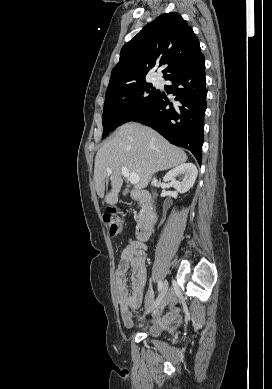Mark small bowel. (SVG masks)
<instances>
[{
    "instance_id": "1",
    "label": "small bowel",
    "mask_w": 272,
    "mask_h": 389,
    "mask_svg": "<svg viewBox=\"0 0 272 389\" xmlns=\"http://www.w3.org/2000/svg\"><path fill=\"white\" fill-rule=\"evenodd\" d=\"M131 273V292L127 289L126 273ZM147 279L146 253L142 243L131 242L121 252L120 261L115 271L117 297L121 318L128 328L133 326L132 310L138 309L142 303L143 289ZM150 301V298L148 299ZM174 298L169 296L165 308L175 314Z\"/></svg>"
}]
</instances>
